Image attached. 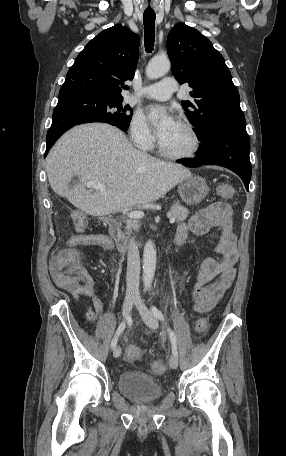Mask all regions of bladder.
<instances>
[{
	"label": "bladder",
	"instance_id": "31cf9c89",
	"mask_svg": "<svg viewBox=\"0 0 286 456\" xmlns=\"http://www.w3.org/2000/svg\"><path fill=\"white\" fill-rule=\"evenodd\" d=\"M119 392L126 398L148 403L159 399L163 394L162 385L152 376L141 372H125L119 377Z\"/></svg>",
	"mask_w": 286,
	"mask_h": 456
}]
</instances>
